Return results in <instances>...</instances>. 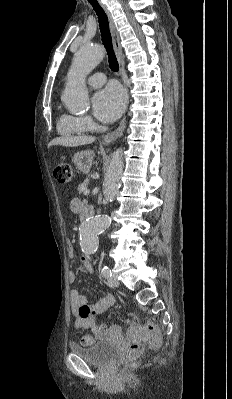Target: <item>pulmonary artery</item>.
Returning <instances> with one entry per match:
<instances>
[{
	"label": "pulmonary artery",
	"mask_w": 232,
	"mask_h": 399,
	"mask_svg": "<svg viewBox=\"0 0 232 399\" xmlns=\"http://www.w3.org/2000/svg\"><path fill=\"white\" fill-rule=\"evenodd\" d=\"M89 84L91 90H102L103 84H108V77H104L103 73H92Z\"/></svg>",
	"instance_id": "e3ab8cb5"
}]
</instances>
